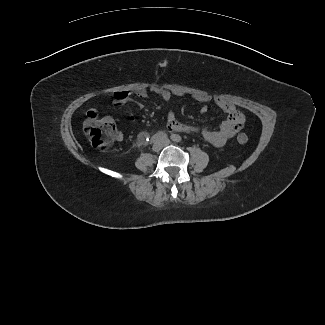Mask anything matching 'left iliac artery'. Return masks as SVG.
Masks as SVG:
<instances>
[{
  "label": "left iliac artery",
  "instance_id": "obj_1",
  "mask_svg": "<svg viewBox=\"0 0 325 325\" xmlns=\"http://www.w3.org/2000/svg\"><path fill=\"white\" fill-rule=\"evenodd\" d=\"M171 139L175 142H179L181 140L180 136L176 134H172Z\"/></svg>",
  "mask_w": 325,
  "mask_h": 325
}]
</instances>
